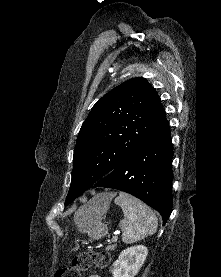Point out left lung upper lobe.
Returning <instances> with one entry per match:
<instances>
[{
    "label": "left lung upper lobe",
    "mask_w": 221,
    "mask_h": 277,
    "mask_svg": "<svg viewBox=\"0 0 221 277\" xmlns=\"http://www.w3.org/2000/svg\"><path fill=\"white\" fill-rule=\"evenodd\" d=\"M156 90L130 79L101 97L82 124L65 205L81 196L166 123Z\"/></svg>",
    "instance_id": "left-lung-upper-lobe-1"
}]
</instances>
